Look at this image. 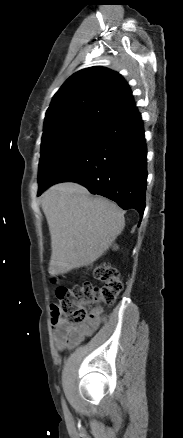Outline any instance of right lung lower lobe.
I'll return each mask as SVG.
<instances>
[{"mask_svg":"<svg viewBox=\"0 0 183 438\" xmlns=\"http://www.w3.org/2000/svg\"><path fill=\"white\" fill-rule=\"evenodd\" d=\"M146 155L143 122L134 107L98 126L86 145L38 195L58 182H78L92 194L107 197L124 210L136 209L142 216Z\"/></svg>","mask_w":183,"mask_h":438,"instance_id":"98d812e1","label":"right lung lower lobe"}]
</instances>
